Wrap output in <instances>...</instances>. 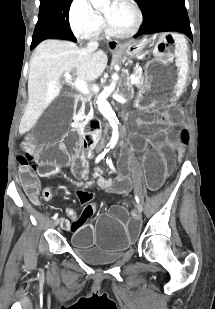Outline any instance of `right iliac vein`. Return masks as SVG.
<instances>
[{
	"mask_svg": "<svg viewBox=\"0 0 215 309\" xmlns=\"http://www.w3.org/2000/svg\"><path fill=\"white\" fill-rule=\"evenodd\" d=\"M59 222H60L59 218L55 219V221L53 222V226H57L59 224Z\"/></svg>",
	"mask_w": 215,
	"mask_h": 309,
	"instance_id": "right-iliac-vein-1",
	"label": "right iliac vein"
}]
</instances>
